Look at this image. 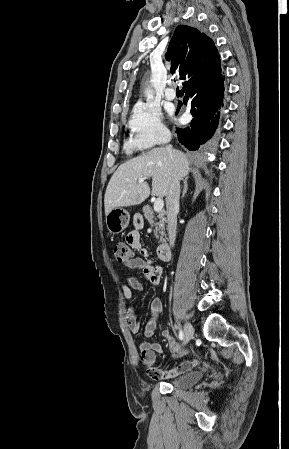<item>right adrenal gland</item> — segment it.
I'll return each instance as SVG.
<instances>
[{
  "instance_id": "2a0ac1e0",
  "label": "right adrenal gland",
  "mask_w": 289,
  "mask_h": 449,
  "mask_svg": "<svg viewBox=\"0 0 289 449\" xmlns=\"http://www.w3.org/2000/svg\"><path fill=\"white\" fill-rule=\"evenodd\" d=\"M187 190H188V184H187V179H185V180L183 181V191H182V196H181V198H183V197L185 196Z\"/></svg>"
}]
</instances>
